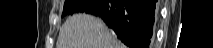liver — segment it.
<instances>
[{
    "instance_id": "liver-1",
    "label": "liver",
    "mask_w": 213,
    "mask_h": 48,
    "mask_svg": "<svg viewBox=\"0 0 213 48\" xmlns=\"http://www.w3.org/2000/svg\"><path fill=\"white\" fill-rule=\"evenodd\" d=\"M56 48L125 47L100 18L75 14L62 25Z\"/></svg>"
}]
</instances>
